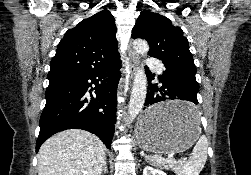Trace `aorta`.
I'll use <instances>...</instances> for the list:
<instances>
[{"label":"aorta","mask_w":251,"mask_h":175,"mask_svg":"<svg viewBox=\"0 0 251 175\" xmlns=\"http://www.w3.org/2000/svg\"><path fill=\"white\" fill-rule=\"evenodd\" d=\"M133 48L136 54H139V56H146L149 50V46L147 42H144V40H135V42H133ZM146 91H147L146 74L144 72L143 66L141 68L139 64L138 68H135L133 86L128 105V113H129L127 119L128 123H131V121L135 119L137 113L141 111L144 105Z\"/></svg>","instance_id":"aorta-1"}]
</instances>
